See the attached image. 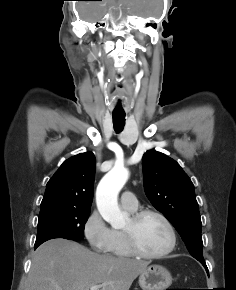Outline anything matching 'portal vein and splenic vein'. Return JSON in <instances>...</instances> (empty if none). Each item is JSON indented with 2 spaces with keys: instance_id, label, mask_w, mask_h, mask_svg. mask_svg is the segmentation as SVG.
Returning <instances> with one entry per match:
<instances>
[{
  "instance_id": "obj_1",
  "label": "portal vein and splenic vein",
  "mask_w": 236,
  "mask_h": 290,
  "mask_svg": "<svg viewBox=\"0 0 236 290\" xmlns=\"http://www.w3.org/2000/svg\"><path fill=\"white\" fill-rule=\"evenodd\" d=\"M102 286L103 284L93 285L91 286L90 290H99V288H101Z\"/></svg>"
}]
</instances>
